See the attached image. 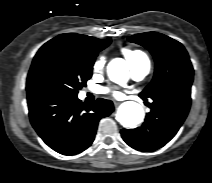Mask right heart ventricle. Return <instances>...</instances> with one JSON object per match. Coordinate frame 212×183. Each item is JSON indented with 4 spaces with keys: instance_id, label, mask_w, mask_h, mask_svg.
<instances>
[{
    "instance_id": "1",
    "label": "right heart ventricle",
    "mask_w": 212,
    "mask_h": 183,
    "mask_svg": "<svg viewBox=\"0 0 212 183\" xmlns=\"http://www.w3.org/2000/svg\"><path fill=\"white\" fill-rule=\"evenodd\" d=\"M127 61L129 62L130 66L141 64V63H149V59L147 55L137 49H125L123 51Z\"/></svg>"
}]
</instances>
